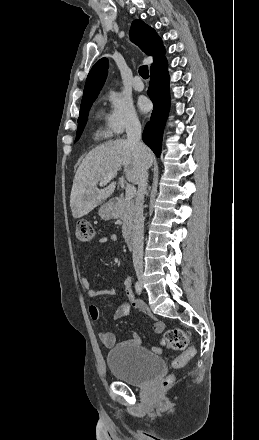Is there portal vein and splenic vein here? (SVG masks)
<instances>
[{"instance_id": "portal-vein-and-splenic-vein-1", "label": "portal vein and splenic vein", "mask_w": 259, "mask_h": 440, "mask_svg": "<svg viewBox=\"0 0 259 440\" xmlns=\"http://www.w3.org/2000/svg\"><path fill=\"white\" fill-rule=\"evenodd\" d=\"M116 175H117V171H114V172L108 174V175H107L106 177H104V179L99 183V185H100V186H104V185H106V184L109 183V182L111 181V179H113ZM125 191H126V196H125V199H126V200H131V199L134 197L135 193H136V189H135L134 185H131V184H127V185H126V189H125Z\"/></svg>"}]
</instances>
